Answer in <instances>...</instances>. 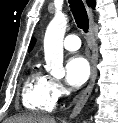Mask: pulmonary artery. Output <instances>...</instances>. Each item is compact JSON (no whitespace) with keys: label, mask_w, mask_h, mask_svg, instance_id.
<instances>
[{"label":"pulmonary artery","mask_w":118,"mask_h":123,"mask_svg":"<svg viewBox=\"0 0 118 123\" xmlns=\"http://www.w3.org/2000/svg\"><path fill=\"white\" fill-rule=\"evenodd\" d=\"M63 46L66 50L76 51L81 46L80 38L77 35H67L63 41Z\"/></svg>","instance_id":"pulmonary-artery-1"}]
</instances>
